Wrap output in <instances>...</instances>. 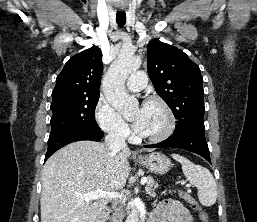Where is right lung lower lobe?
<instances>
[{"mask_svg":"<svg viewBox=\"0 0 257 222\" xmlns=\"http://www.w3.org/2000/svg\"><path fill=\"white\" fill-rule=\"evenodd\" d=\"M104 133L102 131L92 132V131H77L71 130L60 133L56 136L49 137L48 149L45 155V161L58 149L64 147L65 145L81 140H92L100 141Z\"/></svg>","mask_w":257,"mask_h":222,"instance_id":"obj_1","label":"right lung lower lobe"}]
</instances>
